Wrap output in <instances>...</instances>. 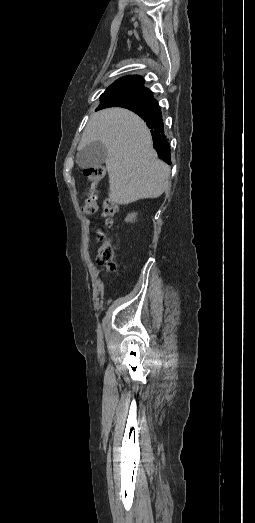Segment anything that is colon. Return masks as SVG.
Masks as SVG:
<instances>
[{"label": "colon", "mask_w": 255, "mask_h": 523, "mask_svg": "<svg viewBox=\"0 0 255 523\" xmlns=\"http://www.w3.org/2000/svg\"><path fill=\"white\" fill-rule=\"evenodd\" d=\"M105 173L106 169L101 165L89 167L84 170L88 186L85 191V200L82 205V210L86 215H94L98 211L97 185L104 179ZM102 208V215L106 226L112 227L115 223V216L118 212L116 203L111 199H105ZM96 262L98 265L105 267L110 271L115 269L114 249L109 241H102L96 254Z\"/></svg>", "instance_id": "1"}]
</instances>
